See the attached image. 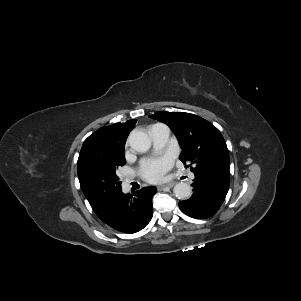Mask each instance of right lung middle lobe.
<instances>
[{
    "label": "right lung middle lobe",
    "instance_id": "dd1d6c3e",
    "mask_svg": "<svg viewBox=\"0 0 301 301\" xmlns=\"http://www.w3.org/2000/svg\"><path fill=\"white\" fill-rule=\"evenodd\" d=\"M125 163L123 149L95 145L80 152L77 162L80 186L96 214L102 213L122 192L116 170Z\"/></svg>",
    "mask_w": 301,
    "mask_h": 301
}]
</instances>
